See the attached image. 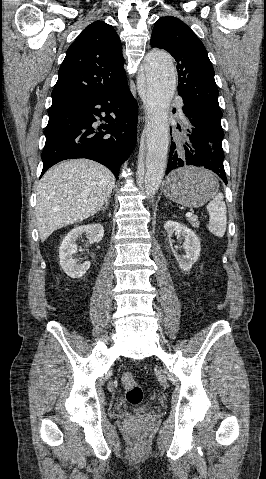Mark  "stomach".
Returning <instances> with one entry per match:
<instances>
[{
  "instance_id": "1",
  "label": "stomach",
  "mask_w": 266,
  "mask_h": 479,
  "mask_svg": "<svg viewBox=\"0 0 266 479\" xmlns=\"http://www.w3.org/2000/svg\"><path fill=\"white\" fill-rule=\"evenodd\" d=\"M219 189L216 177L208 170L189 166L171 172L164 183V194L173 202L190 208L204 205Z\"/></svg>"
}]
</instances>
